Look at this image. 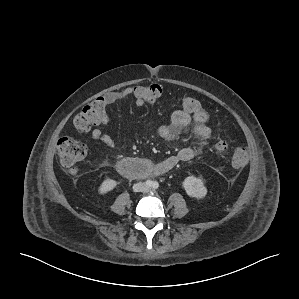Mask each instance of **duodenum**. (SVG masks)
I'll return each instance as SVG.
<instances>
[{"label":"duodenum","instance_id":"duodenum-1","mask_svg":"<svg viewBox=\"0 0 299 299\" xmlns=\"http://www.w3.org/2000/svg\"><path fill=\"white\" fill-rule=\"evenodd\" d=\"M120 174L130 178H144L151 172L150 163L140 158H127L120 160L117 165Z\"/></svg>","mask_w":299,"mask_h":299}]
</instances>
